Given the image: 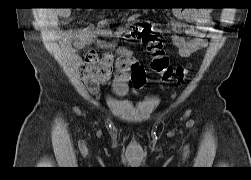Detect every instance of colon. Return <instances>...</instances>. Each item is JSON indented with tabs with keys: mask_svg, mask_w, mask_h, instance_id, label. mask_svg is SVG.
<instances>
[{
	"mask_svg": "<svg viewBox=\"0 0 251 180\" xmlns=\"http://www.w3.org/2000/svg\"><path fill=\"white\" fill-rule=\"evenodd\" d=\"M131 32V36L145 45L147 51L151 54V67L154 71L159 73L164 80L175 79L177 82L183 81L187 69L182 66L173 68L170 65L169 60L164 54L162 43L157 35L149 28L140 25L133 26Z\"/></svg>",
	"mask_w": 251,
	"mask_h": 180,
	"instance_id": "1",
	"label": "colon"
}]
</instances>
